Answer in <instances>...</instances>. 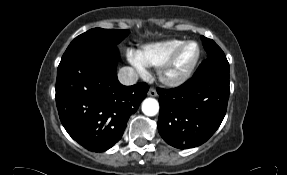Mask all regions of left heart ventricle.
<instances>
[{"instance_id": "b2bd125f", "label": "left heart ventricle", "mask_w": 287, "mask_h": 175, "mask_svg": "<svg viewBox=\"0 0 287 175\" xmlns=\"http://www.w3.org/2000/svg\"><path fill=\"white\" fill-rule=\"evenodd\" d=\"M197 48L194 44L186 46L179 54L172 73L178 74L187 69L195 59Z\"/></svg>"}]
</instances>
